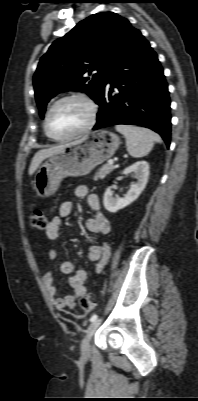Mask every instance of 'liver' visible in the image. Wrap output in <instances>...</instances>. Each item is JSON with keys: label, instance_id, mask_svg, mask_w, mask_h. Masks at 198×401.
I'll return each instance as SVG.
<instances>
[{"label": "liver", "instance_id": "1", "mask_svg": "<svg viewBox=\"0 0 198 401\" xmlns=\"http://www.w3.org/2000/svg\"><path fill=\"white\" fill-rule=\"evenodd\" d=\"M63 147H65V145H58L48 149H41L36 152L29 167V175H33L35 171L39 168L42 161L58 153L59 151H61V149H63Z\"/></svg>", "mask_w": 198, "mask_h": 401}]
</instances>
